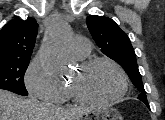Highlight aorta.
I'll return each mask as SVG.
<instances>
[{"label": "aorta", "instance_id": "obj_1", "mask_svg": "<svg viewBox=\"0 0 165 120\" xmlns=\"http://www.w3.org/2000/svg\"><path fill=\"white\" fill-rule=\"evenodd\" d=\"M68 32L69 25L66 21L60 17L52 18L38 51L44 66L55 77L63 74L67 68V62L63 58V48Z\"/></svg>", "mask_w": 165, "mask_h": 120}]
</instances>
